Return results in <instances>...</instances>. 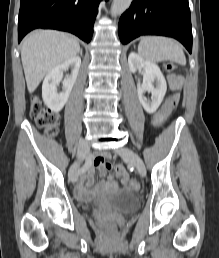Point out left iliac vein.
<instances>
[{"label": "left iliac vein", "instance_id": "1", "mask_svg": "<svg viewBox=\"0 0 219 258\" xmlns=\"http://www.w3.org/2000/svg\"><path fill=\"white\" fill-rule=\"evenodd\" d=\"M117 152L121 157L127 159L136 168L141 176H145V164L137 153L126 147L120 148Z\"/></svg>", "mask_w": 219, "mask_h": 258}]
</instances>
